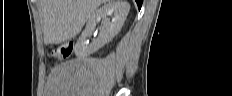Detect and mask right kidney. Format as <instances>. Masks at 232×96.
Returning <instances> with one entry per match:
<instances>
[{
    "label": "right kidney",
    "instance_id": "right-kidney-1",
    "mask_svg": "<svg viewBox=\"0 0 232 96\" xmlns=\"http://www.w3.org/2000/svg\"><path fill=\"white\" fill-rule=\"evenodd\" d=\"M130 5L125 0H108L106 4L96 10L88 19L85 30L80 35L74 50L78 57L85 58L93 54L106 43L110 42L121 30ZM113 18L110 21L108 16ZM104 20L100 35L91 44H88L87 38L93 33L96 24Z\"/></svg>",
    "mask_w": 232,
    "mask_h": 96
}]
</instances>
